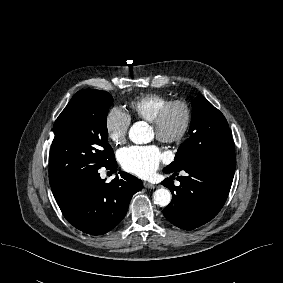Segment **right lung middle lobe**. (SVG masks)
Listing matches in <instances>:
<instances>
[{
  "instance_id": "obj_1",
  "label": "right lung middle lobe",
  "mask_w": 283,
  "mask_h": 283,
  "mask_svg": "<svg viewBox=\"0 0 283 283\" xmlns=\"http://www.w3.org/2000/svg\"><path fill=\"white\" fill-rule=\"evenodd\" d=\"M112 102L106 91L81 90L59 115L49 156L51 187L100 169L114 158L106 125Z\"/></svg>"
}]
</instances>
